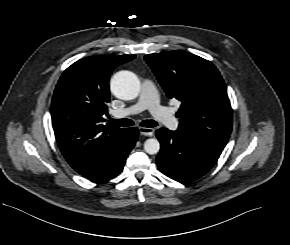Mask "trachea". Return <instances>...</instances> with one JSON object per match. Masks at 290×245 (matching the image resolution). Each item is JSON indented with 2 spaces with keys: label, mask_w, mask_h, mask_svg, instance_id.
Listing matches in <instances>:
<instances>
[{
  "label": "trachea",
  "mask_w": 290,
  "mask_h": 245,
  "mask_svg": "<svg viewBox=\"0 0 290 245\" xmlns=\"http://www.w3.org/2000/svg\"><path fill=\"white\" fill-rule=\"evenodd\" d=\"M110 122H112L118 126H123V127L134 125V122L131 119H126V118H124V119H111L110 118ZM140 125L143 127L152 128V127H156L158 125V123L154 120H143L140 123Z\"/></svg>",
  "instance_id": "1"
}]
</instances>
